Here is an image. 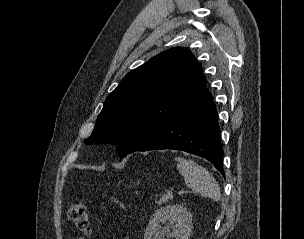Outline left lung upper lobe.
I'll return each mask as SVG.
<instances>
[{"label":"left lung upper lobe","instance_id":"left-lung-upper-lobe-1","mask_svg":"<svg viewBox=\"0 0 304 239\" xmlns=\"http://www.w3.org/2000/svg\"><path fill=\"white\" fill-rule=\"evenodd\" d=\"M207 86L187 48L166 50L129 72L106 98L84 143L119 144L121 158L141 146Z\"/></svg>","mask_w":304,"mask_h":239}]
</instances>
